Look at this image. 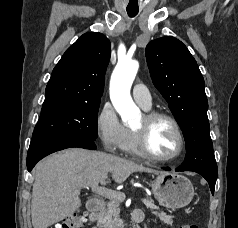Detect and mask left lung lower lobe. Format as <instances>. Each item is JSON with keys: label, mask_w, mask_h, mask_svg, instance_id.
I'll return each instance as SVG.
<instances>
[{"label": "left lung lower lobe", "mask_w": 238, "mask_h": 228, "mask_svg": "<svg viewBox=\"0 0 238 228\" xmlns=\"http://www.w3.org/2000/svg\"><path fill=\"white\" fill-rule=\"evenodd\" d=\"M165 170H171L170 168H164ZM176 171H193L202 175L209 183L212 194L214 193L215 183L217 179V173L204 169H187L182 166L178 167Z\"/></svg>", "instance_id": "1"}]
</instances>
